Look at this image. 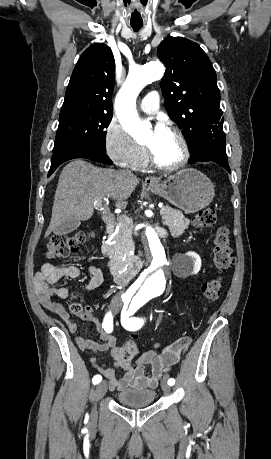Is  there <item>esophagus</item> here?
<instances>
[{
    "instance_id": "obj_1",
    "label": "esophagus",
    "mask_w": 271,
    "mask_h": 459,
    "mask_svg": "<svg viewBox=\"0 0 271 459\" xmlns=\"http://www.w3.org/2000/svg\"><path fill=\"white\" fill-rule=\"evenodd\" d=\"M158 182V179L156 177H153L152 175L145 179L146 185H158Z\"/></svg>"
}]
</instances>
